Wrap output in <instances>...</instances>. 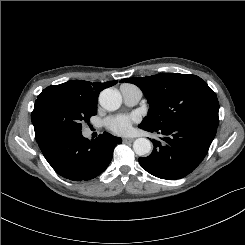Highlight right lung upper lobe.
<instances>
[{
	"instance_id": "right-lung-upper-lobe-1",
	"label": "right lung upper lobe",
	"mask_w": 245,
	"mask_h": 245,
	"mask_svg": "<svg viewBox=\"0 0 245 245\" xmlns=\"http://www.w3.org/2000/svg\"><path fill=\"white\" fill-rule=\"evenodd\" d=\"M118 81H108L105 83H91L89 81L83 80H72L66 83H62L58 86L65 89L71 94L78 96L89 102H96L99 96V93L108 87L115 85Z\"/></svg>"
}]
</instances>
